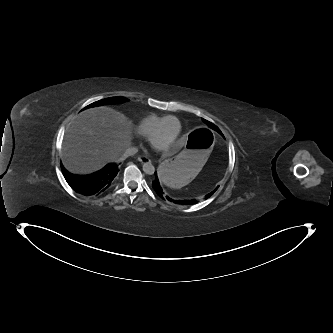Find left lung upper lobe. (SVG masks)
Segmentation results:
<instances>
[{"mask_svg":"<svg viewBox=\"0 0 333 333\" xmlns=\"http://www.w3.org/2000/svg\"><path fill=\"white\" fill-rule=\"evenodd\" d=\"M210 128H212V129H214V130H216L217 132H219L220 134H221V132H220V130L214 125V124H212V123H210L209 121H207V120H205V119H202Z\"/></svg>","mask_w":333,"mask_h":333,"instance_id":"left-lung-upper-lobe-1","label":"left lung upper lobe"}]
</instances>
